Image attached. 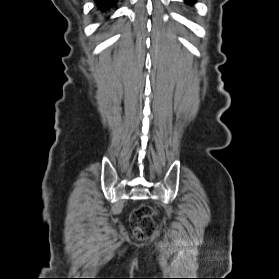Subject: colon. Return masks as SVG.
Listing matches in <instances>:
<instances>
[{"label": "colon", "mask_w": 279, "mask_h": 279, "mask_svg": "<svg viewBox=\"0 0 279 279\" xmlns=\"http://www.w3.org/2000/svg\"><path fill=\"white\" fill-rule=\"evenodd\" d=\"M154 215L155 210L149 205L140 206L132 212L130 220L138 240L149 238L156 232L158 225Z\"/></svg>", "instance_id": "colon-1"}]
</instances>
